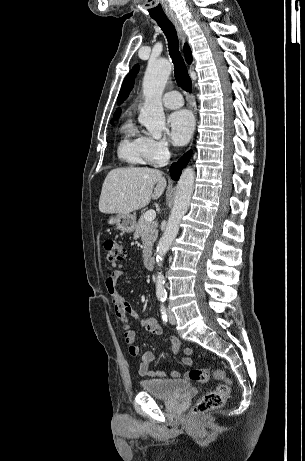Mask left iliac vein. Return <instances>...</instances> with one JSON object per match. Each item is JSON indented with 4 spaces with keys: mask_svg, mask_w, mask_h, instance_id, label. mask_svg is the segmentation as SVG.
Instances as JSON below:
<instances>
[{
    "mask_svg": "<svg viewBox=\"0 0 305 461\" xmlns=\"http://www.w3.org/2000/svg\"><path fill=\"white\" fill-rule=\"evenodd\" d=\"M168 315H169V322H170L171 324H175V323H176V319H175L174 313L171 311L170 308L168 309Z\"/></svg>",
    "mask_w": 305,
    "mask_h": 461,
    "instance_id": "4c4485c4",
    "label": "left iliac vein"
}]
</instances>
